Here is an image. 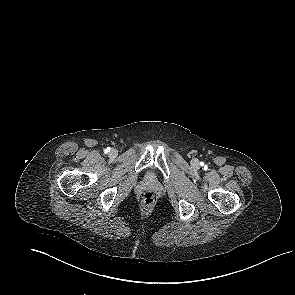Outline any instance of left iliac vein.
Returning a JSON list of instances; mask_svg holds the SVG:
<instances>
[{"label":"left iliac vein","instance_id":"left-iliac-vein-1","mask_svg":"<svg viewBox=\"0 0 295 295\" xmlns=\"http://www.w3.org/2000/svg\"><path fill=\"white\" fill-rule=\"evenodd\" d=\"M191 165L194 167V168H198L199 167V161L197 159H193L191 161Z\"/></svg>","mask_w":295,"mask_h":295}]
</instances>
